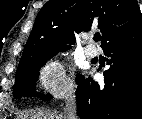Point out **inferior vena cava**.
I'll use <instances>...</instances> for the list:
<instances>
[{
	"mask_svg": "<svg viewBox=\"0 0 142 119\" xmlns=\"http://www.w3.org/2000/svg\"><path fill=\"white\" fill-rule=\"evenodd\" d=\"M65 119H77L75 94L71 91L65 96Z\"/></svg>",
	"mask_w": 142,
	"mask_h": 119,
	"instance_id": "obj_1",
	"label": "inferior vena cava"
}]
</instances>
